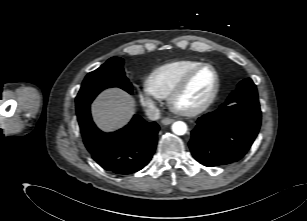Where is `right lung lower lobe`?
Returning <instances> with one entry per match:
<instances>
[{
    "mask_svg": "<svg viewBox=\"0 0 307 221\" xmlns=\"http://www.w3.org/2000/svg\"><path fill=\"white\" fill-rule=\"evenodd\" d=\"M83 142L92 158L114 174H131L151 160L157 145L159 126L138 115L124 128L104 133L92 121L90 106L77 113Z\"/></svg>",
    "mask_w": 307,
    "mask_h": 221,
    "instance_id": "obj_1",
    "label": "right lung lower lobe"
}]
</instances>
